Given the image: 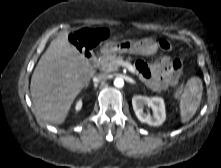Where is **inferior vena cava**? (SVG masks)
<instances>
[{
    "label": "inferior vena cava",
    "mask_w": 221,
    "mask_h": 168,
    "mask_svg": "<svg viewBox=\"0 0 221 168\" xmlns=\"http://www.w3.org/2000/svg\"><path fill=\"white\" fill-rule=\"evenodd\" d=\"M107 77H108V74H106V73H99V74L94 76L93 80H94V82H101V81L106 80Z\"/></svg>",
    "instance_id": "obj_1"
}]
</instances>
